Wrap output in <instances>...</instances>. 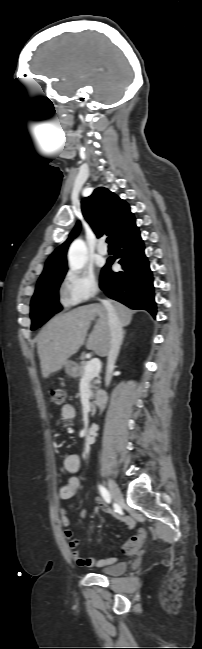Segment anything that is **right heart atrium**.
Listing matches in <instances>:
<instances>
[{
	"label": "right heart atrium",
	"instance_id": "obj_1",
	"mask_svg": "<svg viewBox=\"0 0 202 649\" xmlns=\"http://www.w3.org/2000/svg\"><path fill=\"white\" fill-rule=\"evenodd\" d=\"M98 291L99 284L92 271L69 270L61 280L60 303L65 307L81 304L93 299Z\"/></svg>",
	"mask_w": 202,
	"mask_h": 649
}]
</instances>
